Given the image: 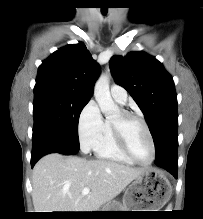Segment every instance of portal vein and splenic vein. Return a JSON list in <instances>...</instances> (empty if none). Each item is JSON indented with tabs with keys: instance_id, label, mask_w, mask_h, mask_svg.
<instances>
[{
	"instance_id": "portal-vein-and-splenic-vein-1",
	"label": "portal vein and splenic vein",
	"mask_w": 203,
	"mask_h": 219,
	"mask_svg": "<svg viewBox=\"0 0 203 219\" xmlns=\"http://www.w3.org/2000/svg\"><path fill=\"white\" fill-rule=\"evenodd\" d=\"M89 192H90V189H89L88 187H85V188L82 190V195H87Z\"/></svg>"
}]
</instances>
